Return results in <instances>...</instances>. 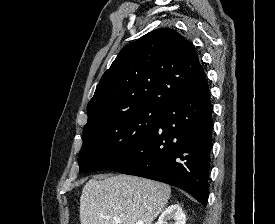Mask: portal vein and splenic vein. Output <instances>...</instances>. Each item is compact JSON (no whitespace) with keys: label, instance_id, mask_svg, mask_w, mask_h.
Here are the masks:
<instances>
[{"label":"portal vein and splenic vein","instance_id":"portal-vein-and-splenic-vein-1","mask_svg":"<svg viewBox=\"0 0 275 224\" xmlns=\"http://www.w3.org/2000/svg\"><path fill=\"white\" fill-rule=\"evenodd\" d=\"M115 219V221L117 222V223H120V218H114ZM137 224H142V222H140V223H137Z\"/></svg>","mask_w":275,"mask_h":224}]
</instances>
